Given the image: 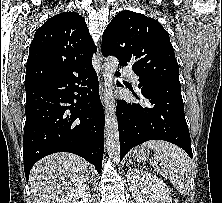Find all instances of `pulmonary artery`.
I'll return each mask as SVG.
<instances>
[{"instance_id":"e3ab8cb5","label":"pulmonary artery","mask_w":222,"mask_h":203,"mask_svg":"<svg viewBox=\"0 0 222 203\" xmlns=\"http://www.w3.org/2000/svg\"><path fill=\"white\" fill-rule=\"evenodd\" d=\"M121 74L125 77L130 78L135 84H137L138 76L135 74V72L132 69L124 67L121 69Z\"/></svg>"}]
</instances>
